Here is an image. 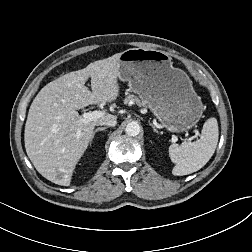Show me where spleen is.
I'll list each match as a JSON object with an SVG mask.
<instances>
[{
    "label": "spleen",
    "instance_id": "obj_1",
    "mask_svg": "<svg viewBox=\"0 0 252 252\" xmlns=\"http://www.w3.org/2000/svg\"><path fill=\"white\" fill-rule=\"evenodd\" d=\"M218 135V123L212 117L204 123L199 140L181 145L171 144L169 156L175 163L173 175L183 176L200 170L214 154Z\"/></svg>",
    "mask_w": 252,
    "mask_h": 252
}]
</instances>
